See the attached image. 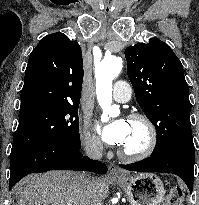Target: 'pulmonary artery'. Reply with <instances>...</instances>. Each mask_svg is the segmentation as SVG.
Here are the masks:
<instances>
[{
	"instance_id": "pulmonary-artery-1",
	"label": "pulmonary artery",
	"mask_w": 199,
	"mask_h": 205,
	"mask_svg": "<svg viewBox=\"0 0 199 205\" xmlns=\"http://www.w3.org/2000/svg\"><path fill=\"white\" fill-rule=\"evenodd\" d=\"M132 88L130 84L123 80H118L114 84L113 99L116 102H126L130 100Z\"/></svg>"
}]
</instances>
